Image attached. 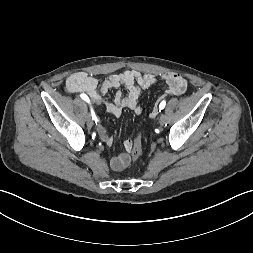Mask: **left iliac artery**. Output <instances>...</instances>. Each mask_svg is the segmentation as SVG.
<instances>
[{
    "label": "left iliac artery",
    "instance_id": "obj_1",
    "mask_svg": "<svg viewBox=\"0 0 253 253\" xmlns=\"http://www.w3.org/2000/svg\"><path fill=\"white\" fill-rule=\"evenodd\" d=\"M165 105H166V102H165V101H162V102L160 103V105H159V108H160V109H163V108L165 107Z\"/></svg>",
    "mask_w": 253,
    "mask_h": 253
}]
</instances>
